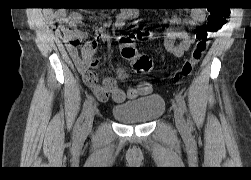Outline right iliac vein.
I'll list each match as a JSON object with an SVG mask.
<instances>
[{
	"instance_id": "1",
	"label": "right iliac vein",
	"mask_w": 251,
	"mask_h": 180,
	"mask_svg": "<svg viewBox=\"0 0 251 180\" xmlns=\"http://www.w3.org/2000/svg\"><path fill=\"white\" fill-rule=\"evenodd\" d=\"M95 113H96V107L91 106L86 114L85 121L82 126L83 132H88L91 130Z\"/></svg>"
}]
</instances>
